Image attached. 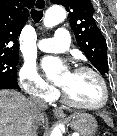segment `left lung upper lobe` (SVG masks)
Instances as JSON below:
<instances>
[{"instance_id": "obj_1", "label": "left lung upper lobe", "mask_w": 117, "mask_h": 136, "mask_svg": "<svg viewBox=\"0 0 117 136\" xmlns=\"http://www.w3.org/2000/svg\"><path fill=\"white\" fill-rule=\"evenodd\" d=\"M63 5L77 43L88 60L102 75L108 74L107 44L93 18L94 8L89 0H50Z\"/></svg>"}]
</instances>
